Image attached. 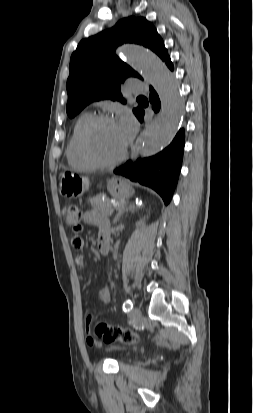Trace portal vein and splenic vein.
<instances>
[{"instance_id": "18ae733b", "label": "portal vein and splenic vein", "mask_w": 253, "mask_h": 413, "mask_svg": "<svg viewBox=\"0 0 253 413\" xmlns=\"http://www.w3.org/2000/svg\"><path fill=\"white\" fill-rule=\"evenodd\" d=\"M123 207H124V204L121 203V204H117L114 208H115L116 210H119V209H121V208H123Z\"/></svg>"}]
</instances>
